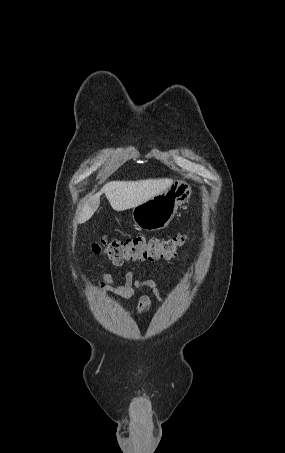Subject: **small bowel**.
Segmentation results:
<instances>
[{"label": "small bowel", "mask_w": 285, "mask_h": 453, "mask_svg": "<svg viewBox=\"0 0 285 453\" xmlns=\"http://www.w3.org/2000/svg\"><path fill=\"white\" fill-rule=\"evenodd\" d=\"M105 281L109 280V276L107 274L103 275ZM99 288L104 289L106 288V284L104 282L99 283ZM111 290L116 292L117 294L121 295L122 297L129 298L134 295L137 290L141 289H148L153 292L154 296L157 298L159 302L162 301V296L160 290L158 288L157 283L150 278H140L137 279L134 276V269L127 271L124 277V282L120 285L110 286ZM151 307V300L148 296H142L139 300L138 307L136 309L137 314H145L150 310Z\"/></svg>", "instance_id": "1"}]
</instances>
